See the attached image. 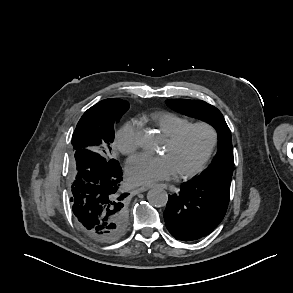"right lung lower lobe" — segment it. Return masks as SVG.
I'll return each instance as SVG.
<instances>
[{"instance_id": "obj_1", "label": "right lung lower lobe", "mask_w": 293, "mask_h": 293, "mask_svg": "<svg viewBox=\"0 0 293 293\" xmlns=\"http://www.w3.org/2000/svg\"><path fill=\"white\" fill-rule=\"evenodd\" d=\"M74 157L71 201L81 229L97 242L119 240L126 231L128 196L121 190L120 166L116 160L86 148L76 150Z\"/></svg>"}]
</instances>
